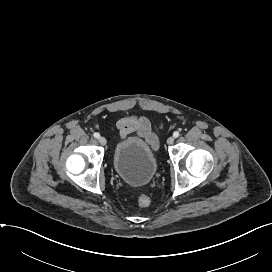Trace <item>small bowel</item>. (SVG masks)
Wrapping results in <instances>:
<instances>
[{"instance_id":"obj_1","label":"small bowel","mask_w":272,"mask_h":272,"mask_svg":"<svg viewBox=\"0 0 272 272\" xmlns=\"http://www.w3.org/2000/svg\"><path fill=\"white\" fill-rule=\"evenodd\" d=\"M119 136L124 139L130 133L136 132L137 135L143 138L152 148H157L158 137L153 130L150 121L144 116L130 115L124 116L117 123Z\"/></svg>"}]
</instances>
